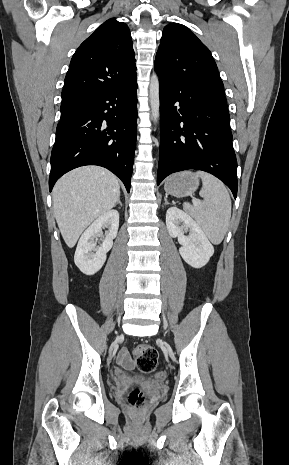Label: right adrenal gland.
<instances>
[{
    "label": "right adrenal gland",
    "mask_w": 289,
    "mask_h": 465,
    "mask_svg": "<svg viewBox=\"0 0 289 465\" xmlns=\"http://www.w3.org/2000/svg\"><path fill=\"white\" fill-rule=\"evenodd\" d=\"M118 204L120 205V207H122V202L120 201V196H119V198H118V200H117L115 206L118 205Z\"/></svg>",
    "instance_id": "right-adrenal-gland-1"
}]
</instances>
